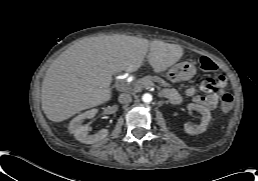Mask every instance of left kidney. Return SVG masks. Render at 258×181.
Listing matches in <instances>:
<instances>
[{
	"instance_id": "1",
	"label": "left kidney",
	"mask_w": 258,
	"mask_h": 181,
	"mask_svg": "<svg viewBox=\"0 0 258 181\" xmlns=\"http://www.w3.org/2000/svg\"><path fill=\"white\" fill-rule=\"evenodd\" d=\"M189 107L200 112L202 115V118L198 126H192L190 124H186L184 127L185 132L188 134L194 135V134H200L206 131L207 126L211 120V114L209 109L200 104H189Z\"/></svg>"
}]
</instances>
